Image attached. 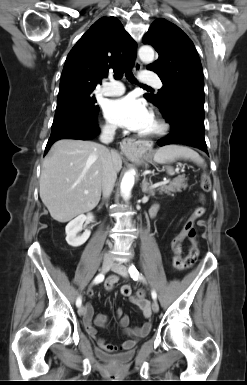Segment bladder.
I'll return each instance as SVG.
<instances>
[{"mask_svg":"<svg viewBox=\"0 0 247 385\" xmlns=\"http://www.w3.org/2000/svg\"><path fill=\"white\" fill-rule=\"evenodd\" d=\"M131 356H132L131 352H129V353L125 354V355H119L120 358H129Z\"/></svg>","mask_w":247,"mask_h":385,"instance_id":"bladder-1","label":"bladder"}]
</instances>
